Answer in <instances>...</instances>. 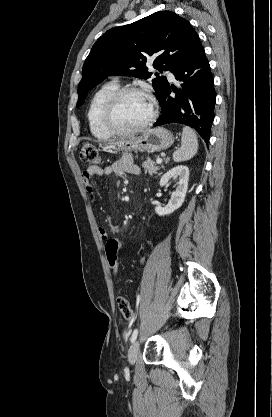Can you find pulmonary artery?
I'll list each match as a JSON object with an SVG mask.
<instances>
[{
  "mask_svg": "<svg viewBox=\"0 0 272 417\" xmlns=\"http://www.w3.org/2000/svg\"><path fill=\"white\" fill-rule=\"evenodd\" d=\"M168 77L171 81H173L175 79L174 74L171 72H168Z\"/></svg>",
  "mask_w": 272,
  "mask_h": 417,
  "instance_id": "1",
  "label": "pulmonary artery"
}]
</instances>
